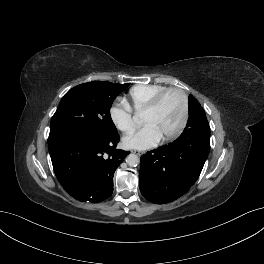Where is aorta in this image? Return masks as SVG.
Masks as SVG:
<instances>
[{"label":"aorta","mask_w":264,"mask_h":264,"mask_svg":"<svg viewBox=\"0 0 264 264\" xmlns=\"http://www.w3.org/2000/svg\"><path fill=\"white\" fill-rule=\"evenodd\" d=\"M126 162L129 166H137L140 163V159L136 154H129L126 158Z\"/></svg>","instance_id":"1"}]
</instances>
